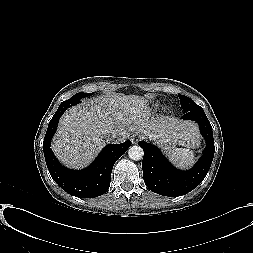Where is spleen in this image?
Returning a JSON list of instances; mask_svg holds the SVG:
<instances>
[{"label":"spleen","mask_w":253,"mask_h":253,"mask_svg":"<svg viewBox=\"0 0 253 253\" xmlns=\"http://www.w3.org/2000/svg\"><path fill=\"white\" fill-rule=\"evenodd\" d=\"M170 161L180 168H188L194 164L195 155L189 148H176L169 152Z\"/></svg>","instance_id":"obj_1"}]
</instances>
